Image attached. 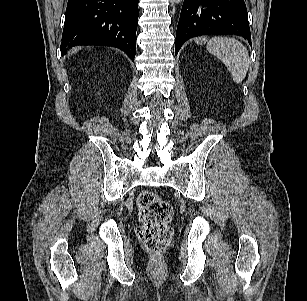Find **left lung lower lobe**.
Masks as SVG:
<instances>
[{"label": "left lung lower lobe", "instance_id": "obj_1", "mask_svg": "<svg viewBox=\"0 0 307 301\" xmlns=\"http://www.w3.org/2000/svg\"><path fill=\"white\" fill-rule=\"evenodd\" d=\"M209 34H251L244 0H184L176 32L175 55L185 41Z\"/></svg>", "mask_w": 307, "mask_h": 301}]
</instances>
